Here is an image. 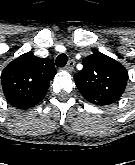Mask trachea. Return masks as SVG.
<instances>
[{"instance_id":"3493384b","label":"trachea","mask_w":135,"mask_h":165,"mask_svg":"<svg viewBox=\"0 0 135 165\" xmlns=\"http://www.w3.org/2000/svg\"><path fill=\"white\" fill-rule=\"evenodd\" d=\"M67 61H68L67 55L60 54L57 56L55 63H56V66H58V67H64L66 65Z\"/></svg>"}]
</instances>
